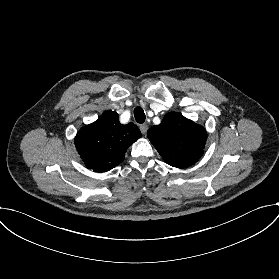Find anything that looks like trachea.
I'll return each instance as SVG.
<instances>
[{
    "mask_svg": "<svg viewBox=\"0 0 279 279\" xmlns=\"http://www.w3.org/2000/svg\"><path fill=\"white\" fill-rule=\"evenodd\" d=\"M134 116H135V119L138 123L142 124L144 123L145 119H146V116L144 114V111L142 108L140 107H136L135 110H134Z\"/></svg>",
    "mask_w": 279,
    "mask_h": 279,
    "instance_id": "1",
    "label": "trachea"
}]
</instances>
